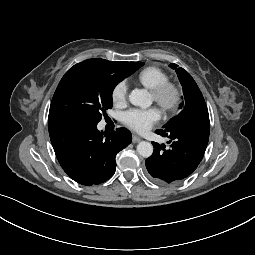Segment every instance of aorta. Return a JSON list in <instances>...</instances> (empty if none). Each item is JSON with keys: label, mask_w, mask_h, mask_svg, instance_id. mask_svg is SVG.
<instances>
[{"label": "aorta", "mask_w": 255, "mask_h": 255, "mask_svg": "<svg viewBox=\"0 0 255 255\" xmlns=\"http://www.w3.org/2000/svg\"><path fill=\"white\" fill-rule=\"evenodd\" d=\"M129 101L135 106L147 108L152 104L150 94L145 89H135L129 95ZM137 152L144 158H148L153 153V146L151 143L141 141L137 145Z\"/></svg>", "instance_id": "762f6f07"}]
</instances>
